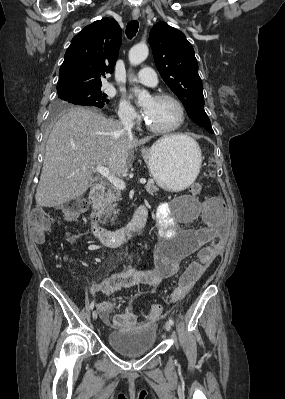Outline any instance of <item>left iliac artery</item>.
I'll use <instances>...</instances> for the list:
<instances>
[{
	"label": "left iliac artery",
	"instance_id": "44dca946",
	"mask_svg": "<svg viewBox=\"0 0 285 399\" xmlns=\"http://www.w3.org/2000/svg\"><path fill=\"white\" fill-rule=\"evenodd\" d=\"M169 323H170L171 325H173V324H174V321H173V319H172V318H169Z\"/></svg>",
	"mask_w": 285,
	"mask_h": 399
}]
</instances>
